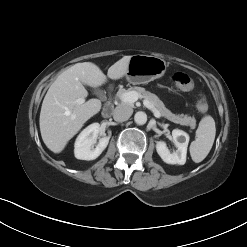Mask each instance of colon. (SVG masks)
<instances>
[{
	"instance_id": "colon-1",
	"label": "colon",
	"mask_w": 247,
	"mask_h": 247,
	"mask_svg": "<svg viewBox=\"0 0 247 247\" xmlns=\"http://www.w3.org/2000/svg\"><path fill=\"white\" fill-rule=\"evenodd\" d=\"M172 81L175 88L180 91H192L194 89L193 81L185 73H175L172 77ZM197 109L201 114H205L208 111V104L205 96L202 93L198 94Z\"/></svg>"
}]
</instances>
